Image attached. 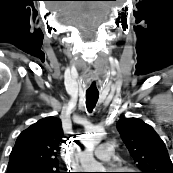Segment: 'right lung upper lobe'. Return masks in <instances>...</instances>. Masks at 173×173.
<instances>
[{"label": "right lung upper lobe", "instance_id": "cb5924a9", "mask_svg": "<svg viewBox=\"0 0 173 173\" xmlns=\"http://www.w3.org/2000/svg\"><path fill=\"white\" fill-rule=\"evenodd\" d=\"M64 138L60 119L51 116L39 120L18 136L7 173L58 170L57 154Z\"/></svg>", "mask_w": 173, "mask_h": 173}]
</instances>
